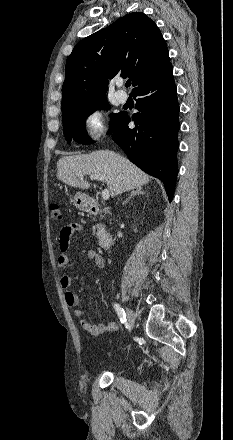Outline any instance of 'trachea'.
<instances>
[{
	"mask_svg": "<svg viewBox=\"0 0 233 440\" xmlns=\"http://www.w3.org/2000/svg\"><path fill=\"white\" fill-rule=\"evenodd\" d=\"M130 85H131V81L128 80V81L125 83V86H126V87H129Z\"/></svg>",
	"mask_w": 233,
	"mask_h": 440,
	"instance_id": "1",
	"label": "trachea"
}]
</instances>
